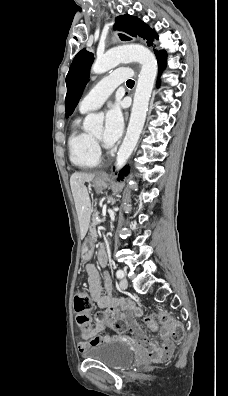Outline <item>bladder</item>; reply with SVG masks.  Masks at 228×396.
<instances>
[{
	"instance_id": "1",
	"label": "bladder",
	"mask_w": 228,
	"mask_h": 396,
	"mask_svg": "<svg viewBox=\"0 0 228 396\" xmlns=\"http://www.w3.org/2000/svg\"><path fill=\"white\" fill-rule=\"evenodd\" d=\"M81 356L97 360L109 368L116 369L129 366L134 359V353L130 346L119 340L88 345L81 351Z\"/></svg>"
}]
</instances>
